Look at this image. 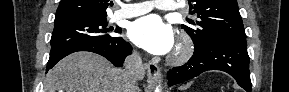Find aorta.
Returning <instances> with one entry per match:
<instances>
[{"mask_svg":"<svg viewBox=\"0 0 289 92\" xmlns=\"http://www.w3.org/2000/svg\"><path fill=\"white\" fill-rule=\"evenodd\" d=\"M155 92H160V89L159 88H156V91Z\"/></svg>","mask_w":289,"mask_h":92,"instance_id":"1","label":"aorta"}]
</instances>
